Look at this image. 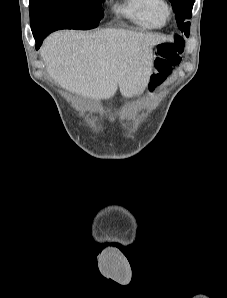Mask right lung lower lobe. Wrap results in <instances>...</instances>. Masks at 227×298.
<instances>
[{"label":"right lung lower lobe","mask_w":227,"mask_h":298,"mask_svg":"<svg viewBox=\"0 0 227 298\" xmlns=\"http://www.w3.org/2000/svg\"><path fill=\"white\" fill-rule=\"evenodd\" d=\"M51 32H53V31H47L44 33L34 34V38L36 40V49H38L41 46L43 39Z\"/></svg>","instance_id":"obj_1"}]
</instances>
